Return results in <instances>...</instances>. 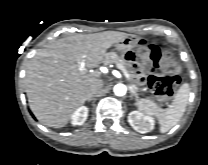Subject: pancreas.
I'll use <instances>...</instances> for the list:
<instances>
[{
  "label": "pancreas",
  "mask_w": 208,
  "mask_h": 165,
  "mask_svg": "<svg viewBox=\"0 0 208 165\" xmlns=\"http://www.w3.org/2000/svg\"><path fill=\"white\" fill-rule=\"evenodd\" d=\"M104 64H121L126 69L127 72L131 75L132 70L129 68L128 64L116 53V52H109L105 55Z\"/></svg>",
  "instance_id": "1"
}]
</instances>
